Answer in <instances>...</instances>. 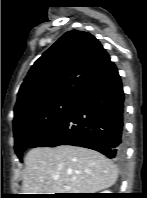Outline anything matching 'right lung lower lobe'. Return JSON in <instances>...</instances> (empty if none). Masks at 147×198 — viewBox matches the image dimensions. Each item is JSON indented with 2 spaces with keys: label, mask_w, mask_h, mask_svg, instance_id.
<instances>
[{
  "label": "right lung lower lobe",
  "mask_w": 147,
  "mask_h": 198,
  "mask_svg": "<svg viewBox=\"0 0 147 198\" xmlns=\"http://www.w3.org/2000/svg\"><path fill=\"white\" fill-rule=\"evenodd\" d=\"M123 113L122 82L112 62L75 100L62 120L31 148L74 145L121 159L124 155Z\"/></svg>",
  "instance_id": "1"
}]
</instances>
